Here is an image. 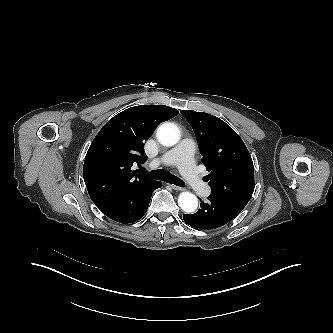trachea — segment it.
<instances>
[{
    "mask_svg": "<svg viewBox=\"0 0 333 333\" xmlns=\"http://www.w3.org/2000/svg\"><path fill=\"white\" fill-rule=\"evenodd\" d=\"M139 173L156 180H161L167 183L177 185L179 187L185 186V183L181 179L162 169L151 170L148 172L145 168H140Z\"/></svg>",
    "mask_w": 333,
    "mask_h": 333,
    "instance_id": "3493384b",
    "label": "trachea"
}]
</instances>
